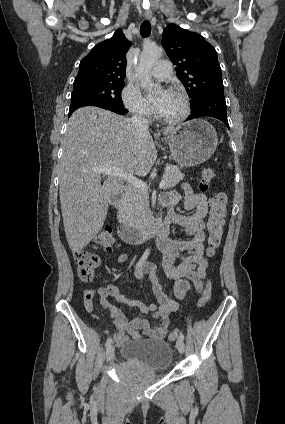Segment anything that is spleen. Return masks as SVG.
I'll return each mask as SVG.
<instances>
[{
  "label": "spleen",
  "mask_w": 285,
  "mask_h": 424,
  "mask_svg": "<svg viewBox=\"0 0 285 424\" xmlns=\"http://www.w3.org/2000/svg\"><path fill=\"white\" fill-rule=\"evenodd\" d=\"M228 166L231 167V163H229Z\"/></svg>",
  "instance_id": "spleen-1"
}]
</instances>
